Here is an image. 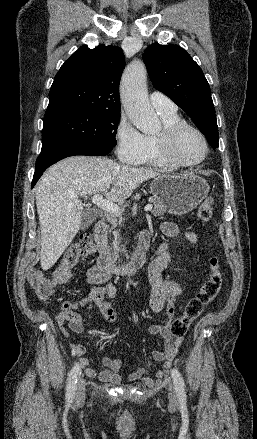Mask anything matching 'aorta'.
<instances>
[{
  "instance_id": "762f6f07",
  "label": "aorta",
  "mask_w": 257,
  "mask_h": 439,
  "mask_svg": "<svg viewBox=\"0 0 257 439\" xmlns=\"http://www.w3.org/2000/svg\"><path fill=\"white\" fill-rule=\"evenodd\" d=\"M120 96L126 114L143 133L159 129V119L151 107L147 94V74L143 63L135 61L124 73Z\"/></svg>"
}]
</instances>
